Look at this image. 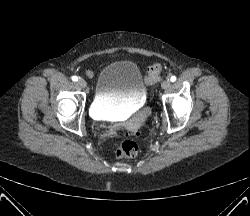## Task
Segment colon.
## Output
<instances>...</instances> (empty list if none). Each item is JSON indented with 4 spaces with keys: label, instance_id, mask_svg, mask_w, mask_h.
<instances>
[{
    "label": "colon",
    "instance_id": "1",
    "mask_svg": "<svg viewBox=\"0 0 250 216\" xmlns=\"http://www.w3.org/2000/svg\"><path fill=\"white\" fill-rule=\"evenodd\" d=\"M162 71V65L160 63H155L147 69V74L145 76V83L147 85H153L160 79V74ZM138 144L130 139L122 142L120 147L116 151L118 157L131 158L138 154Z\"/></svg>",
    "mask_w": 250,
    "mask_h": 216
}]
</instances>
